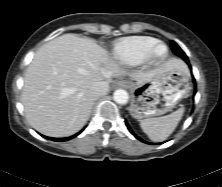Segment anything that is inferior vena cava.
I'll use <instances>...</instances> for the list:
<instances>
[{
  "label": "inferior vena cava",
  "mask_w": 222,
  "mask_h": 187,
  "mask_svg": "<svg viewBox=\"0 0 222 187\" xmlns=\"http://www.w3.org/2000/svg\"><path fill=\"white\" fill-rule=\"evenodd\" d=\"M108 83L105 81H98L92 84V86L90 87V91L91 93L96 96H102L104 94H106V92L108 91Z\"/></svg>",
  "instance_id": "1"
}]
</instances>
